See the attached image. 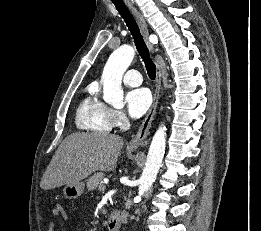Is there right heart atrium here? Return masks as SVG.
I'll use <instances>...</instances> for the list:
<instances>
[{"mask_svg": "<svg viewBox=\"0 0 261 231\" xmlns=\"http://www.w3.org/2000/svg\"><path fill=\"white\" fill-rule=\"evenodd\" d=\"M110 116L113 127L122 128L127 122V117L121 110L111 109Z\"/></svg>", "mask_w": 261, "mask_h": 231, "instance_id": "obj_1", "label": "right heart atrium"}]
</instances>
